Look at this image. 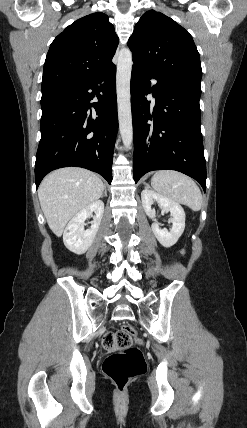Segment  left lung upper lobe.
Returning <instances> with one entry per match:
<instances>
[{
    "instance_id": "obj_1",
    "label": "left lung upper lobe",
    "mask_w": 247,
    "mask_h": 428,
    "mask_svg": "<svg viewBox=\"0 0 247 428\" xmlns=\"http://www.w3.org/2000/svg\"><path fill=\"white\" fill-rule=\"evenodd\" d=\"M128 46L133 62L164 81L201 93L202 69L192 36L174 20L154 10L135 25Z\"/></svg>"
}]
</instances>
